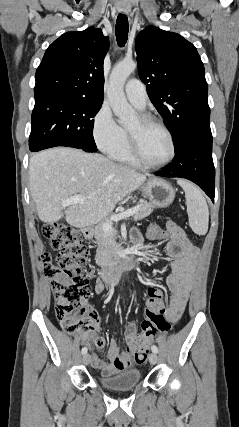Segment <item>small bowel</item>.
I'll use <instances>...</instances> for the list:
<instances>
[{"label":"small bowel","instance_id":"1","mask_svg":"<svg viewBox=\"0 0 239 427\" xmlns=\"http://www.w3.org/2000/svg\"><path fill=\"white\" fill-rule=\"evenodd\" d=\"M167 236L169 242L166 246L168 256L173 260L172 272L166 277V285L172 296L165 311V317L170 325L176 324L181 318L189 296L194 277V268L198 257V249L186 237L181 227L170 222L167 227ZM131 241L135 247L142 245L143 239L137 230L131 232ZM105 288L103 279H98L95 284L97 294H102ZM165 304V303H164ZM93 318L94 328L100 329V316L93 310H90ZM136 324L129 322L125 327L124 339L126 344L132 348L136 341ZM94 346L103 348L105 339L92 334ZM133 362L131 352H121L115 339H111L107 352V359H101L96 354L91 356V364L94 368L100 370L103 375L110 376L120 371L128 369Z\"/></svg>","mask_w":239,"mask_h":427}]
</instances>
